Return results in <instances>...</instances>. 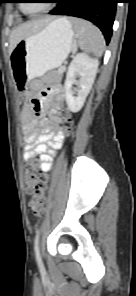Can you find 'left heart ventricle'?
<instances>
[{
	"instance_id": "1",
	"label": "left heart ventricle",
	"mask_w": 136,
	"mask_h": 296,
	"mask_svg": "<svg viewBox=\"0 0 136 296\" xmlns=\"http://www.w3.org/2000/svg\"><path fill=\"white\" fill-rule=\"evenodd\" d=\"M28 8L32 11H38L43 9L48 3L44 2V1H36V0H32L29 1V3H26Z\"/></svg>"
}]
</instances>
